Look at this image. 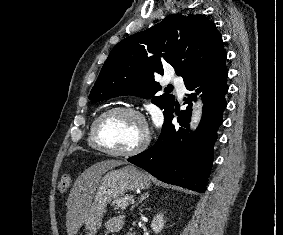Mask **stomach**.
Instances as JSON below:
<instances>
[{
  "mask_svg": "<svg viewBox=\"0 0 283 235\" xmlns=\"http://www.w3.org/2000/svg\"><path fill=\"white\" fill-rule=\"evenodd\" d=\"M149 186L148 176L132 165L106 172L99 179L86 211L87 235H95L101 227L108 202L124 195L127 191L146 189Z\"/></svg>",
  "mask_w": 283,
  "mask_h": 235,
  "instance_id": "stomach-1",
  "label": "stomach"
}]
</instances>
